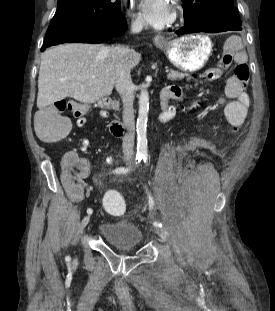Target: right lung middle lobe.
<instances>
[{
    "label": "right lung middle lobe",
    "mask_w": 275,
    "mask_h": 311,
    "mask_svg": "<svg viewBox=\"0 0 275 311\" xmlns=\"http://www.w3.org/2000/svg\"><path fill=\"white\" fill-rule=\"evenodd\" d=\"M119 9L120 2L115 0H58L46 36L62 27L104 20L119 13Z\"/></svg>",
    "instance_id": "dd1d6c3e"
}]
</instances>
